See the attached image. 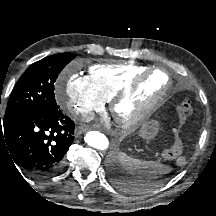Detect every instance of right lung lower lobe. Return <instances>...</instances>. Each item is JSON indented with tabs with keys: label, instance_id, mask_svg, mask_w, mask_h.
<instances>
[{
	"label": "right lung lower lobe",
	"instance_id": "98d812e1",
	"mask_svg": "<svg viewBox=\"0 0 216 216\" xmlns=\"http://www.w3.org/2000/svg\"><path fill=\"white\" fill-rule=\"evenodd\" d=\"M74 122L60 109L38 111L0 123V151L31 175L59 173L74 139Z\"/></svg>",
	"mask_w": 216,
	"mask_h": 216
}]
</instances>
